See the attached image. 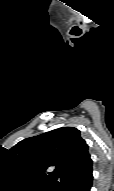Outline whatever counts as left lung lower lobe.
I'll return each instance as SVG.
<instances>
[{
	"label": "left lung lower lobe",
	"mask_w": 114,
	"mask_h": 191,
	"mask_svg": "<svg viewBox=\"0 0 114 191\" xmlns=\"http://www.w3.org/2000/svg\"><path fill=\"white\" fill-rule=\"evenodd\" d=\"M92 180V160L89 159L60 191H90Z\"/></svg>",
	"instance_id": "1"
}]
</instances>
